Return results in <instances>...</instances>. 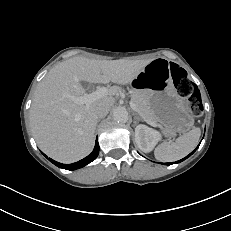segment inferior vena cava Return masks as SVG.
Segmentation results:
<instances>
[{
  "label": "inferior vena cava",
  "mask_w": 231,
  "mask_h": 231,
  "mask_svg": "<svg viewBox=\"0 0 231 231\" xmlns=\"http://www.w3.org/2000/svg\"><path fill=\"white\" fill-rule=\"evenodd\" d=\"M109 109L110 108L104 104L98 105L96 108L97 117L103 118V117L107 116V114L109 113Z\"/></svg>",
  "instance_id": "obj_1"
}]
</instances>
